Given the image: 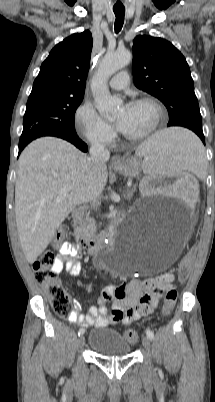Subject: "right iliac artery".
Listing matches in <instances>:
<instances>
[{
	"label": "right iliac artery",
	"instance_id": "1",
	"mask_svg": "<svg viewBox=\"0 0 215 402\" xmlns=\"http://www.w3.org/2000/svg\"><path fill=\"white\" fill-rule=\"evenodd\" d=\"M84 333V329H79V331H78V335L80 336V335H82Z\"/></svg>",
	"mask_w": 215,
	"mask_h": 402
}]
</instances>
